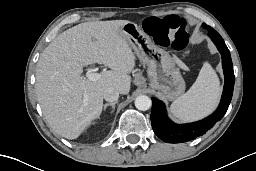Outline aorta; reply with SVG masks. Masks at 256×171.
I'll use <instances>...</instances> for the list:
<instances>
[{"label":"aorta","mask_w":256,"mask_h":171,"mask_svg":"<svg viewBox=\"0 0 256 171\" xmlns=\"http://www.w3.org/2000/svg\"><path fill=\"white\" fill-rule=\"evenodd\" d=\"M152 105L151 99L146 95H140L135 99V107L140 111L148 110Z\"/></svg>","instance_id":"aorta-1"}]
</instances>
